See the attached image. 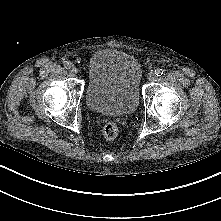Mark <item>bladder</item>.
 Returning <instances> with one entry per match:
<instances>
[{
	"label": "bladder",
	"instance_id": "31cf9c89",
	"mask_svg": "<svg viewBox=\"0 0 221 221\" xmlns=\"http://www.w3.org/2000/svg\"><path fill=\"white\" fill-rule=\"evenodd\" d=\"M142 67L131 54L105 48L89 59L85 100L88 108L103 115H126L139 104Z\"/></svg>",
	"mask_w": 221,
	"mask_h": 221
}]
</instances>
